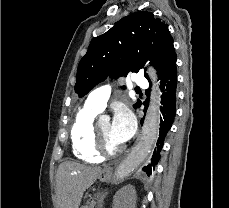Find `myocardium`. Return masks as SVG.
Segmentation results:
<instances>
[{
	"label": "myocardium",
	"mask_w": 229,
	"mask_h": 208,
	"mask_svg": "<svg viewBox=\"0 0 229 208\" xmlns=\"http://www.w3.org/2000/svg\"><path fill=\"white\" fill-rule=\"evenodd\" d=\"M94 135L98 140V143L93 144V147L95 148V153H98V158L103 157L102 153H107L108 155H115L122 151L123 147L121 145H113V147H110L111 143L99 133L97 126L94 127Z\"/></svg>",
	"instance_id": "obj_1"
}]
</instances>
